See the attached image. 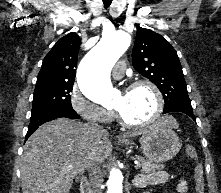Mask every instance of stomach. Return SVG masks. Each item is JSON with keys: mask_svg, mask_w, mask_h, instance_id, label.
Here are the masks:
<instances>
[{"mask_svg": "<svg viewBox=\"0 0 221 193\" xmlns=\"http://www.w3.org/2000/svg\"><path fill=\"white\" fill-rule=\"evenodd\" d=\"M159 121V120H158ZM125 145L132 144L129 140H122ZM141 151L151 162H166L172 159L180 150L181 143L171 127L156 122L150 126L140 138Z\"/></svg>", "mask_w": 221, "mask_h": 193, "instance_id": "0dacf381", "label": "stomach"}]
</instances>
